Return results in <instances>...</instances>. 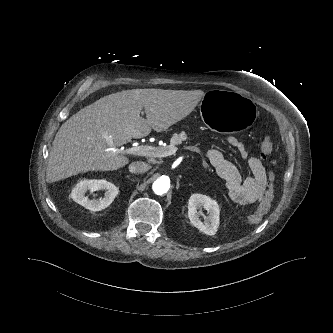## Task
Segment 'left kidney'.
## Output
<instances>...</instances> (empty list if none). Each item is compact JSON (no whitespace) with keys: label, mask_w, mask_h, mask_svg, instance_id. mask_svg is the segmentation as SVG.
Wrapping results in <instances>:
<instances>
[{"label":"left kidney","mask_w":333,"mask_h":333,"mask_svg":"<svg viewBox=\"0 0 333 333\" xmlns=\"http://www.w3.org/2000/svg\"><path fill=\"white\" fill-rule=\"evenodd\" d=\"M202 207L209 213L204 222L200 220V213L197 211ZM188 217L191 224L201 232L206 235H215L219 227V206L215 200L206 195L193 194L188 202Z\"/></svg>","instance_id":"obj_1"}]
</instances>
